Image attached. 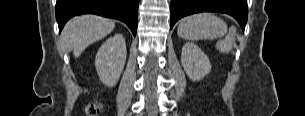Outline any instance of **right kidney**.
<instances>
[{
    "mask_svg": "<svg viewBox=\"0 0 305 116\" xmlns=\"http://www.w3.org/2000/svg\"><path fill=\"white\" fill-rule=\"evenodd\" d=\"M126 55V43L122 34H115L101 45L95 57V66L104 85L114 87L117 84L124 69Z\"/></svg>",
    "mask_w": 305,
    "mask_h": 116,
    "instance_id": "obj_1",
    "label": "right kidney"
}]
</instances>
